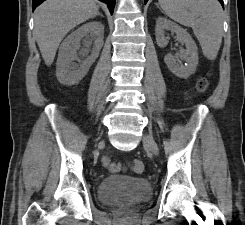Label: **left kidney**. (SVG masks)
I'll use <instances>...</instances> for the list:
<instances>
[{"mask_svg": "<svg viewBox=\"0 0 245 225\" xmlns=\"http://www.w3.org/2000/svg\"><path fill=\"white\" fill-rule=\"evenodd\" d=\"M165 30H169L176 34V39L181 44H185L186 49L181 50V60L185 61V65L178 64L177 59L167 54L164 61L168 69L180 78H188L196 70L198 64V48L191 35L176 23L159 17L156 21L155 36L159 47H166L169 38L165 36Z\"/></svg>", "mask_w": 245, "mask_h": 225, "instance_id": "obj_1", "label": "left kidney"}]
</instances>
